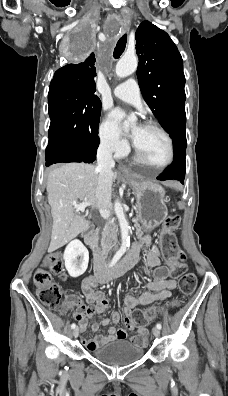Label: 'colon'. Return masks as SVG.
<instances>
[{"label": "colon", "instance_id": "5ec220e1", "mask_svg": "<svg viewBox=\"0 0 228 396\" xmlns=\"http://www.w3.org/2000/svg\"><path fill=\"white\" fill-rule=\"evenodd\" d=\"M179 225L180 217L178 215L167 216L162 224L160 241L164 256L170 263L171 274L179 280V291L182 295L188 296L194 292L197 278L194 273L188 272L185 255L177 246L174 231L178 229ZM50 271L65 277L64 260L61 253L48 254L44 258L42 267L34 273L33 282L39 300L45 306L55 310L71 307L76 303V300L62 294L60 287L53 281ZM171 305L175 306L176 302H172ZM155 313L154 309H136L131 313V321L137 327H144L155 316Z\"/></svg>", "mask_w": 228, "mask_h": 396}]
</instances>
